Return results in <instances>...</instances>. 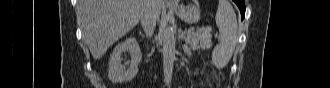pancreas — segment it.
I'll return each mask as SVG.
<instances>
[{
	"instance_id": "1",
	"label": "pancreas",
	"mask_w": 330,
	"mask_h": 88,
	"mask_svg": "<svg viewBox=\"0 0 330 88\" xmlns=\"http://www.w3.org/2000/svg\"><path fill=\"white\" fill-rule=\"evenodd\" d=\"M186 37L184 38L186 43L196 51L199 49H210L212 46V35L210 33L194 31L189 29L185 31Z\"/></svg>"
}]
</instances>
